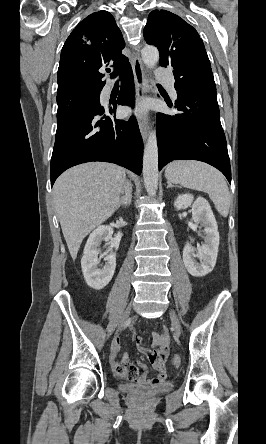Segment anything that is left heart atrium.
I'll list each match as a JSON object with an SVG mask.
<instances>
[{"label": "left heart atrium", "mask_w": 266, "mask_h": 444, "mask_svg": "<svg viewBox=\"0 0 266 444\" xmlns=\"http://www.w3.org/2000/svg\"><path fill=\"white\" fill-rule=\"evenodd\" d=\"M146 110V106L144 104H139L133 110L134 113L141 114Z\"/></svg>", "instance_id": "obj_1"}]
</instances>
